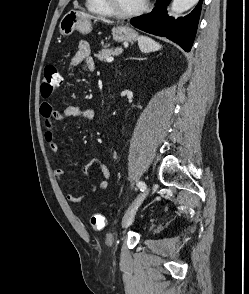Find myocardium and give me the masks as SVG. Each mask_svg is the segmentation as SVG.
<instances>
[{
  "label": "myocardium",
  "instance_id": "myocardium-1",
  "mask_svg": "<svg viewBox=\"0 0 249 294\" xmlns=\"http://www.w3.org/2000/svg\"><path fill=\"white\" fill-rule=\"evenodd\" d=\"M105 7L108 9L110 15L120 17V18H129L142 14L148 8V0H144L140 7L130 10L123 11L116 7L113 0H102Z\"/></svg>",
  "mask_w": 249,
  "mask_h": 294
}]
</instances>
